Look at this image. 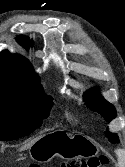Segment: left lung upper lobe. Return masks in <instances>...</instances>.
<instances>
[{
    "label": "left lung upper lobe",
    "mask_w": 125,
    "mask_h": 167,
    "mask_svg": "<svg viewBox=\"0 0 125 167\" xmlns=\"http://www.w3.org/2000/svg\"><path fill=\"white\" fill-rule=\"evenodd\" d=\"M84 100L86 105L93 111L98 112L102 115L106 121H111L116 116V110L112 104L103 99L101 95L98 94L96 89H91L84 94ZM107 136L112 137L110 141L112 143L118 142V138L115 134H110L107 132Z\"/></svg>",
    "instance_id": "left-lung-upper-lobe-1"
}]
</instances>
